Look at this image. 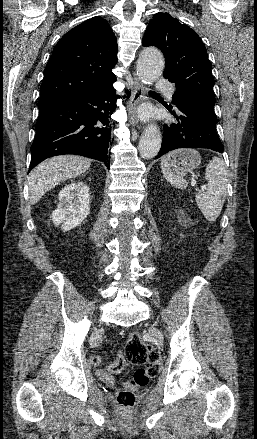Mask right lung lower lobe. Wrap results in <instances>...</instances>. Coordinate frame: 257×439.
Returning a JSON list of instances; mask_svg holds the SVG:
<instances>
[{
    "mask_svg": "<svg viewBox=\"0 0 257 439\" xmlns=\"http://www.w3.org/2000/svg\"><path fill=\"white\" fill-rule=\"evenodd\" d=\"M115 81L39 107L29 171L46 158L62 154L96 159L110 169L108 148L114 139L110 115L118 98L112 87ZM126 93L129 97L130 92Z\"/></svg>",
    "mask_w": 257,
    "mask_h": 439,
    "instance_id": "98d812e1",
    "label": "right lung lower lobe"
}]
</instances>
